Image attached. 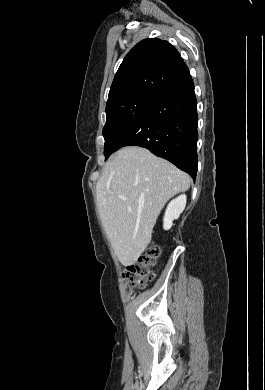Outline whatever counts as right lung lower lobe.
Wrapping results in <instances>:
<instances>
[{
	"label": "right lung lower lobe",
	"instance_id": "obj_1",
	"mask_svg": "<svg viewBox=\"0 0 265 390\" xmlns=\"http://www.w3.org/2000/svg\"><path fill=\"white\" fill-rule=\"evenodd\" d=\"M197 101L190 74L163 91L130 124L115 150L140 146L167 159L195 179L197 174Z\"/></svg>",
	"mask_w": 265,
	"mask_h": 390
}]
</instances>
